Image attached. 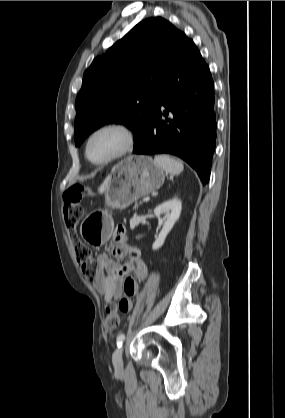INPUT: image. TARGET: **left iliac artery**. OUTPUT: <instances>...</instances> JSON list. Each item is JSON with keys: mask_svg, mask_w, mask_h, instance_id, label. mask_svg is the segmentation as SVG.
Segmentation results:
<instances>
[{"mask_svg": "<svg viewBox=\"0 0 285 418\" xmlns=\"http://www.w3.org/2000/svg\"><path fill=\"white\" fill-rule=\"evenodd\" d=\"M125 340V334L121 333L117 336L116 342H117V346L120 347L122 346L123 342Z\"/></svg>", "mask_w": 285, "mask_h": 418, "instance_id": "1", "label": "left iliac artery"}]
</instances>
